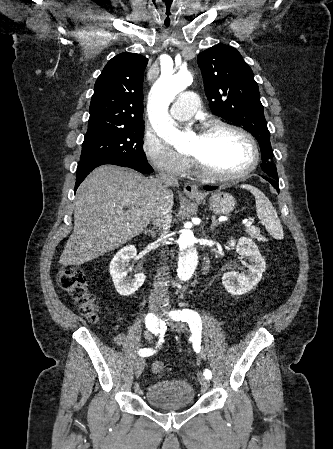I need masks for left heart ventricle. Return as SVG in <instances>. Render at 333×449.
<instances>
[{"label":"left heart ventricle","instance_id":"obj_1","mask_svg":"<svg viewBox=\"0 0 333 449\" xmlns=\"http://www.w3.org/2000/svg\"><path fill=\"white\" fill-rule=\"evenodd\" d=\"M188 153L199 158L216 174L238 172L246 168L252 160V151L247 140L228 130L194 136Z\"/></svg>","mask_w":333,"mask_h":449}]
</instances>
